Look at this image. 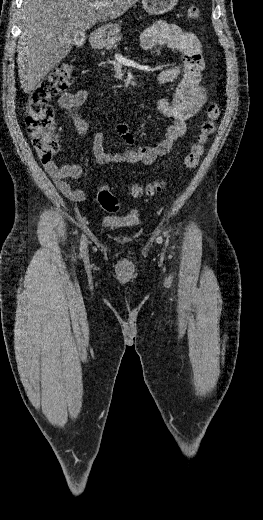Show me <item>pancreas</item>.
<instances>
[{
  "mask_svg": "<svg viewBox=\"0 0 263 520\" xmlns=\"http://www.w3.org/2000/svg\"><path fill=\"white\" fill-rule=\"evenodd\" d=\"M120 40H121V35H116L114 37L109 38L106 41V45H105L106 49L111 50L113 48H116L117 43H119Z\"/></svg>",
  "mask_w": 263,
  "mask_h": 520,
  "instance_id": "cf45deb5",
  "label": "pancreas"
}]
</instances>
